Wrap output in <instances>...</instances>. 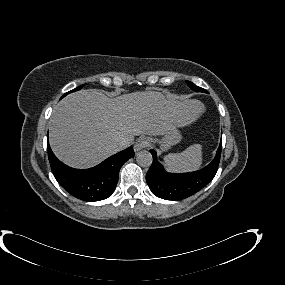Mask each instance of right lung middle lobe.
<instances>
[{"mask_svg": "<svg viewBox=\"0 0 285 285\" xmlns=\"http://www.w3.org/2000/svg\"><path fill=\"white\" fill-rule=\"evenodd\" d=\"M82 87H83V86H79L78 88H76V89H74V90H72V91L66 93L65 95H63V97L66 96L67 94L73 92V91H78V90H80Z\"/></svg>", "mask_w": 285, "mask_h": 285, "instance_id": "1", "label": "right lung middle lobe"}]
</instances>
